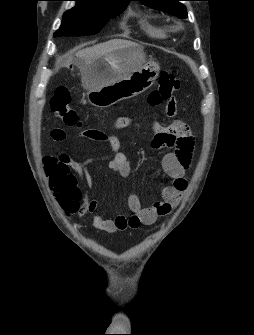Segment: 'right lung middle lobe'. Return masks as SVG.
<instances>
[{
  "label": "right lung middle lobe",
  "instance_id": "1",
  "mask_svg": "<svg viewBox=\"0 0 254 335\" xmlns=\"http://www.w3.org/2000/svg\"><path fill=\"white\" fill-rule=\"evenodd\" d=\"M125 5L78 2L63 15L60 29L54 37L97 33L110 19L119 15Z\"/></svg>",
  "mask_w": 254,
  "mask_h": 335
}]
</instances>
